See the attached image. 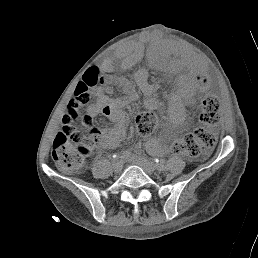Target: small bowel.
<instances>
[{"mask_svg":"<svg viewBox=\"0 0 258 258\" xmlns=\"http://www.w3.org/2000/svg\"><path fill=\"white\" fill-rule=\"evenodd\" d=\"M141 52L142 51L139 47H133V50L122 59V64L125 66H130L134 64L141 56ZM110 66L111 64L107 65V67ZM196 73L197 69L193 68L191 74L195 75ZM96 94L97 103L88 108L87 118L94 117L97 115H103L115 122L112 126L104 128L101 132L100 145L98 148V152L101 153L106 150L114 149L118 146L121 138L125 134V128L120 122L116 120L115 112L112 106L109 104L107 98L103 95L102 90H98ZM149 146L154 151L161 149L160 144L155 141H150Z\"/></svg>","mask_w":258,"mask_h":258,"instance_id":"1","label":"small bowel"}]
</instances>
